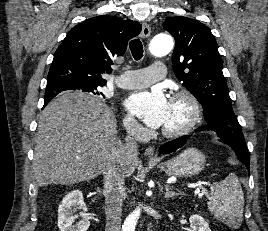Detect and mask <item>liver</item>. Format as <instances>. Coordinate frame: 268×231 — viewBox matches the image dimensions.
Segmentation results:
<instances>
[{"instance_id": "6515ba94", "label": "liver", "mask_w": 268, "mask_h": 231, "mask_svg": "<svg viewBox=\"0 0 268 231\" xmlns=\"http://www.w3.org/2000/svg\"><path fill=\"white\" fill-rule=\"evenodd\" d=\"M116 128L113 112L98 97L78 91L59 94L39 118L33 158L37 185H71L101 175L123 146ZM137 164L138 159L125 162L126 176Z\"/></svg>"}]
</instances>
